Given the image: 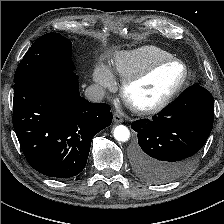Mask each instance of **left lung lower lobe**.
<instances>
[{"mask_svg":"<svg viewBox=\"0 0 224 224\" xmlns=\"http://www.w3.org/2000/svg\"><path fill=\"white\" fill-rule=\"evenodd\" d=\"M214 118V98L202 86H193L151 120L132 123L138 144L133 153L135 174L162 184L185 174L206 143Z\"/></svg>","mask_w":224,"mask_h":224,"instance_id":"left-lung-lower-lobe-1","label":"left lung lower lobe"}]
</instances>
